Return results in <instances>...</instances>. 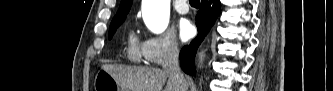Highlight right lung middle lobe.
Here are the masks:
<instances>
[{
  "label": "right lung middle lobe",
  "mask_w": 333,
  "mask_h": 91,
  "mask_svg": "<svg viewBox=\"0 0 333 91\" xmlns=\"http://www.w3.org/2000/svg\"><path fill=\"white\" fill-rule=\"evenodd\" d=\"M125 18L112 20L109 28V39H111L116 32V29L124 22Z\"/></svg>",
  "instance_id": "obj_1"
}]
</instances>
